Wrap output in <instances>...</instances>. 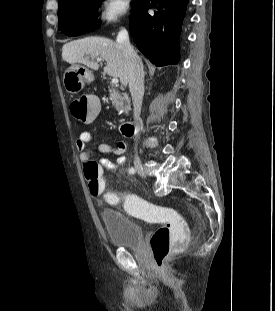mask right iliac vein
I'll return each mask as SVG.
<instances>
[{
  "mask_svg": "<svg viewBox=\"0 0 275 311\" xmlns=\"http://www.w3.org/2000/svg\"><path fill=\"white\" fill-rule=\"evenodd\" d=\"M134 166H135V169L137 170L139 175L145 176L144 168H143L142 162L139 158H136L134 160Z\"/></svg>",
  "mask_w": 275,
  "mask_h": 311,
  "instance_id": "right-iliac-vein-1",
  "label": "right iliac vein"
}]
</instances>
